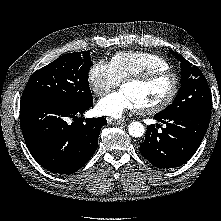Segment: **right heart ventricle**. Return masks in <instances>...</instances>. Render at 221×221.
I'll return each instance as SVG.
<instances>
[{"label":"right heart ventricle","mask_w":221,"mask_h":221,"mask_svg":"<svg viewBox=\"0 0 221 221\" xmlns=\"http://www.w3.org/2000/svg\"><path fill=\"white\" fill-rule=\"evenodd\" d=\"M109 64L120 82L127 77L147 71L169 69V63L166 59L144 51L118 52L112 56Z\"/></svg>","instance_id":"1"}]
</instances>
